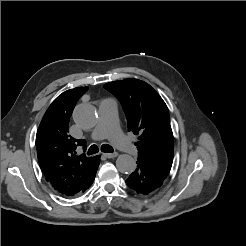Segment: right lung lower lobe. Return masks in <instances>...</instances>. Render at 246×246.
<instances>
[{"label": "right lung lower lobe", "instance_id": "right-lung-lower-lobe-1", "mask_svg": "<svg viewBox=\"0 0 246 246\" xmlns=\"http://www.w3.org/2000/svg\"><path fill=\"white\" fill-rule=\"evenodd\" d=\"M99 163H100V157L99 156H96L95 171L91 175V177L89 178V180L86 182V184L83 186V188L81 189V191L79 192V194L83 193L86 189H88L92 185V183L94 181V178H95V175H96L97 168L99 166Z\"/></svg>", "mask_w": 246, "mask_h": 246}]
</instances>
